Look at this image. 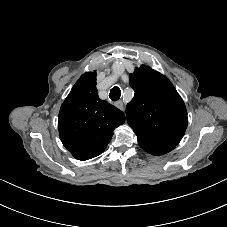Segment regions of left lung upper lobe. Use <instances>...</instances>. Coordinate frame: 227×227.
Listing matches in <instances>:
<instances>
[{
    "label": "left lung upper lobe",
    "instance_id": "1",
    "mask_svg": "<svg viewBox=\"0 0 227 227\" xmlns=\"http://www.w3.org/2000/svg\"><path fill=\"white\" fill-rule=\"evenodd\" d=\"M135 94L126 106L127 122L178 145L187 128L185 104L168 78L141 65L129 75Z\"/></svg>",
    "mask_w": 227,
    "mask_h": 227
}]
</instances>
